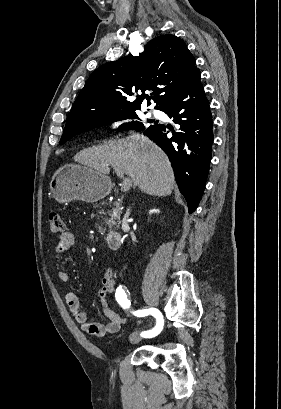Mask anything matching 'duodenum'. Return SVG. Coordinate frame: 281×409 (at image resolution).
I'll return each instance as SVG.
<instances>
[{
    "mask_svg": "<svg viewBox=\"0 0 281 409\" xmlns=\"http://www.w3.org/2000/svg\"><path fill=\"white\" fill-rule=\"evenodd\" d=\"M108 245L111 249H119L122 243V237L119 232H110L107 235Z\"/></svg>",
    "mask_w": 281,
    "mask_h": 409,
    "instance_id": "duodenum-1",
    "label": "duodenum"
}]
</instances>
